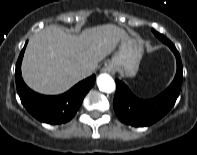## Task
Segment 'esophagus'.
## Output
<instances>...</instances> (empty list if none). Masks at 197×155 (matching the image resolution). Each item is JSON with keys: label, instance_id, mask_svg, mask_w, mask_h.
<instances>
[{"label": "esophagus", "instance_id": "1", "mask_svg": "<svg viewBox=\"0 0 197 155\" xmlns=\"http://www.w3.org/2000/svg\"><path fill=\"white\" fill-rule=\"evenodd\" d=\"M104 71H106V72H108V73H110V74H114V73H115V68H114V66L110 63V64L105 65Z\"/></svg>", "mask_w": 197, "mask_h": 155}]
</instances>
